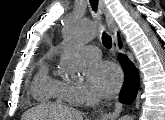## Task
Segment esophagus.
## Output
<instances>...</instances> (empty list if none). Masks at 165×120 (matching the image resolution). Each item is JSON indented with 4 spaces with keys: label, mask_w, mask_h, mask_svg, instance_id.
<instances>
[{
    "label": "esophagus",
    "mask_w": 165,
    "mask_h": 120,
    "mask_svg": "<svg viewBox=\"0 0 165 120\" xmlns=\"http://www.w3.org/2000/svg\"><path fill=\"white\" fill-rule=\"evenodd\" d=\"M99 5H100V8H101V10L105 16L108 31H109V34L112 38L113 49L117 53H122L123 51L119 48V45H118L117 27H116V24L114 22V19H113L111 13L109 12V10L107 9L103 0H99ZM122 108H123V105L121 103L117 102L114 110L112 112H109V113H104L101 116V120H115L120 115Z\"/></svg>",
    "instance_id": "obj_1"
}]
</instances>
